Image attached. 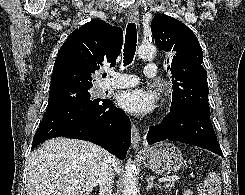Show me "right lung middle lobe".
I'll use <instances>...</instances> for the list:
<instances>
[{
  "instance_id": "obj_1",
  "label": "right lung middle lobe",
  "mask_w": 245,
  "mask_h": 195,
  "mask_svg": "<svg viewBox=\"0 0 245 195\" xmlns=\"http://www.w3.org/2000/svg\"><path fill=\"white\" fill-rule=\"evenodd\" d=\"M90 88L91 87H78L49 94L48 108L64 103L90 100L92 99L88 91Z\"/></svg>"
}]
</instances>
